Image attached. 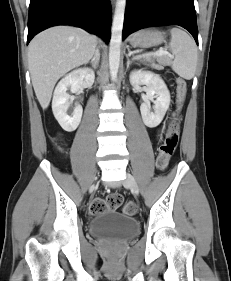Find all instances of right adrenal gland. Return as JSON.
Masks as SVG:
<instances>
[{"label":"right adrenal gland","mask_w":231,"mask_h":281,"mask_svg":"<svg viewBox=\"0 0 231 281\" xmlns=\"http://www.w3.org/2000/svg\"><path fill=\"white\" fill-rule=\"evenodd\" d=\"M98 63H99V58L97 56L90 61V64L94 70L97 69Z\"/></svg>","instance_id":"obj_1"}]
</instances>
